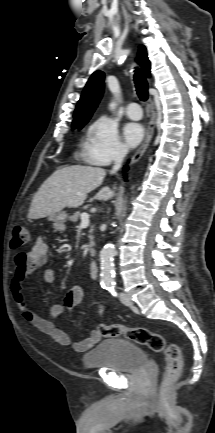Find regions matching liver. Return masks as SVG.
Listing matches in <instances>:
<instances>
[{
	"mask_svg": "<svg viewBox=\"0 0 215 433\" xmlns=\"http://www.w3.org/2000/svg\"><path fill=\"white\" fill-rule=\"evenodd\" d=\"M105 175L103 168L93 166L72 165L57 169L34 195L28 217H51L65 207H79L87 194L102 184ZM113 189L103 187L90 202L113 198L116 187Z\"/></svg>",
	"mask_w": 215,
	"mask_h": 433,
	"instance_id": "6515ba94",
	"label": "liver"
}]
</instances>
